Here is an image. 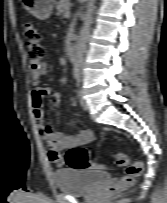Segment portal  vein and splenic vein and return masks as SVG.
<instances>
[{"label":"portal vein and splenic vein","mask_w":167,"mask_h":203,"mask_svg":"<svg viewBox=\"0 0 167 203\" xmlns=\"http://www.w3.org/2000/svg\"><path fill=\"white\" fill-rule=\"evenodd\" d=\"M70 16V12H66L65 17L68 18Z\"/></svg>","instance_id":"obj_1"}]
</instances>
